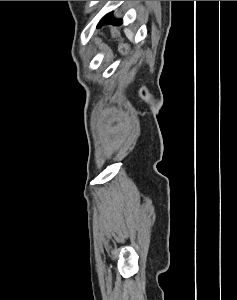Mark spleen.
Instances as JSON below:
<instances>
[{"label":"spleen","mask_w":237,"mask_h":300,"mask_svg":"<svg viewBox=\"0 0 237 300\" xmlns=\"http://www.w3.org/2000/svg\"><path fill=\"white\" fill-rule=\"evenodd\" d=\"M124 33H125L127 39H129V41H133L134 33H132V31H130V29H125Z\"/></svg>","instance_id":"3e777b00"}]
</instances>
